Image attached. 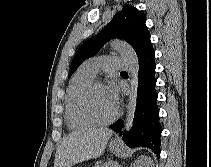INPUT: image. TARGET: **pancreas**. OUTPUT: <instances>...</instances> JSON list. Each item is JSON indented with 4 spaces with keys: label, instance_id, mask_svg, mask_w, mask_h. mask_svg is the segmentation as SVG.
I'll return each instance as SVG.
<instances>
[{
    "label": "pancreas",
    "instance_id": "cf45deb5",
    "mask_svg": "<svg viewBox=\"0 0 211 167\" xmlns=\"http://www.w3.org/2000/svg\"><path fill=\"white\" fill-rule=\"evenodd\" d=\"M94 167H118V164L112 161L105 163H98Z\"/></svg>",
    "mask_w": 211,
    "mask_h": 167
}]
</instances>
